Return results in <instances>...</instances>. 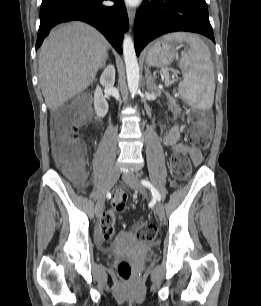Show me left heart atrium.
Returning <instances> with one entry per match:
<instances>
[{"label":"left heart atrium","instance_id":"1","mask_svg":"<svg viewBox=\"0 0 261 306\" xmlns=\"http://www.w3.org/2000/svg\"><path fill=\"white\" fill-rule=\"evenodd\" d=\"M138 0H126V2L130 5H134L137 3Z\"/></svg>","mask_w":261,"mask_h":306}]
</instances>
